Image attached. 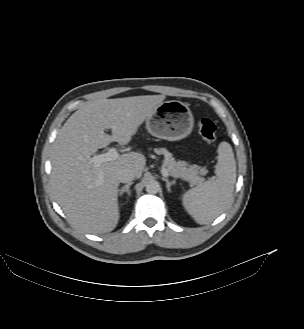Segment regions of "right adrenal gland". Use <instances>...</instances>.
<instances>
[{"label":"right adrenal gland","instance_id":"2a0ac1e0","mask_svg":"<svg viewBox=\"0 0 304 329\" xmlns=\"http://www.w3.org/2000/svg\"><path fill=\"white\" fill-rule=\"evenodd\" d=\"M132 184H133L132 182H129V183H127L126 185H124V186L120 189L119 196H122L125 192L128 194V196H130V195H131V192H130V186H131Z\"/></svg>","mask_w":304,"mask_h":329}]
</instances>
